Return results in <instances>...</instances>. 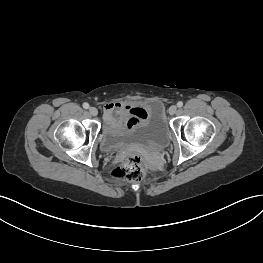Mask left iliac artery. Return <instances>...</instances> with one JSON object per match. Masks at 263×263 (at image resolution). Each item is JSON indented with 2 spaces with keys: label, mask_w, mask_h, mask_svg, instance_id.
<instances>
[{
  "label": "left iliac artery",
  "mask_w": 263,
  "mask_h": 263,
  "mask_svg": "<svg viewBox=\"0 0 263 263\" xmlns=\"http://www.w3.org/2000/svg\"><path fill=\"white\" fill-rule=\"evenodd\" d=\"M177 106H178L179 108H181V107L183 106V102H182V101H179V102L177 103Z\"/></svg>",
  "instance_id": "left-iliac-artery-1"
}]
</instances>
